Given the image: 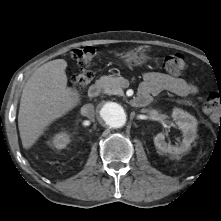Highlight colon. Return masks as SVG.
I'll return each instance as SVG.
<instances>
[{
  "label": "colon",
  "instance_id": "colon-1",
  "mask_svg": "<svg viewBox=\"0 0 221 221\" xmlns=\"http://www.w3.org/2000/svg\"><path fill=\"white\" fill-rule=\"evenodd\" d=\"M96 52L92 47H84L73 52V58L81 68V72L72 77V85L74 89L83 90L93 79V71ZM158 64L161 69L169 73L178 74L184 72L188 68L186 58L179 53L166 55L159 58ZM205 111L214 119L221 121V93L212 92L205 100Z\"/></svg>",
  "mask_w": 221,
  "mask_h": 221
}]
</instances>
